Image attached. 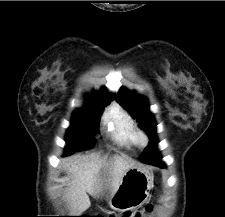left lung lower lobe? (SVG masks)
I'll return each mask as SVG.
<instances>
[{
	"label": "left lung lower lobe",
	"instance_id": "0a47b994",
	"mask_svg": "<svg viewBox=\"0 0 225 217\" xmlns=\"http://www.w3.org/2000/svg\"><path fill=\"white\" fill-rule=\"evenodd\" d=\"M157 143V139L151 140L148 147L146 148V156L141 158L140 161L164 168L166 166L163 162H161V157L156 150Z\"/></svg>",
	"mask_w": 225,
	"mask_h": 217
}]
</instances>
